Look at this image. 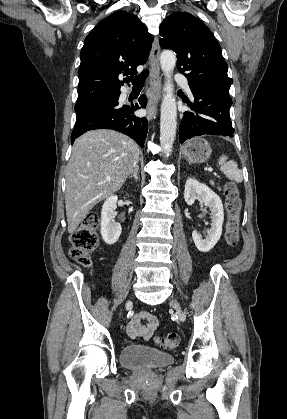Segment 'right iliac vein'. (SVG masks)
<instances>
[{
    "label": "right iliac vein",
    "instance_id": "63e3f726",
    "mask_svg": "<svg viewBox=\"0 0 287 419\" xmlns=\"http://www.w3.org/2000/svg\"><path fill=\"white\" fill-rule=\"evenodd\" d=\"M129 305H131V301H128L126 306L128 307Z\"/></svg>",
    "mask_w": 287,
    "mask_h": 419
}]
</instances>
